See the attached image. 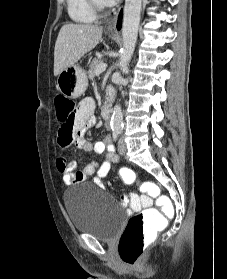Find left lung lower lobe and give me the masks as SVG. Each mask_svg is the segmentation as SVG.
<instances>
[{
    "label": "left lung lower lobe",
    "instance_id": "0a47b994",
    "mask_svg": "<svg viewBox=\"0 0 227 279\" xmlns=\"http://www.w3.org/2000/svg\"><path fill=\"white\" fill-rule=\"evenodd\" d=\"M121 24H122V11L120 12L119 18H118V23H117V29L118 30H120Z\"/></svg>",
    "mask_w": 227,
    "mask_h": 279
}]
</instances>
